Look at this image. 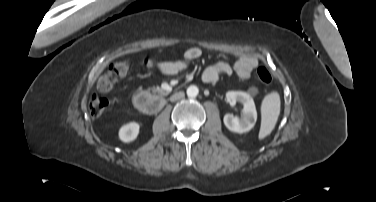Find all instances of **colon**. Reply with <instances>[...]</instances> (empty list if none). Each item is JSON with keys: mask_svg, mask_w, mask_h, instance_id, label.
Here are the masks:
<instances>
[{"mask_svg": "<svg viewBox=\"0 0 376 202\" xmlns=\"http://www.w3.org/2000/svg\"><path fill=\"white\" fill-rule=\"evenodd\" d=\"M145 63L150 64V61ZM130 70V64L127 61L115 62L110 65L108 71L104 73L97 81V90L100 93L111 91L118 77L126 75ZM257 78L263 84H269L272 81V75L266 67L257 69ZM108 107V100L100 95L93 94L89 102V110L92 117L101 116Z\"/></svg>", "mask_w": 376, "mask_h": 202, "instance_id": "5ec220e1", "label": "colon"}]
</instances>
